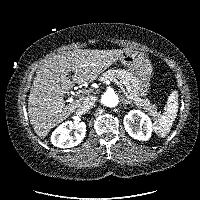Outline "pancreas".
Listing matches in <instances>:
<instances>
[{
	"mask_svg": "<svg viewBox=\"0 0 200 200\" xmlns=\"http://www.w3.org/2000/svg\"><path fill=\"white\" fill-rule=\"evenodd\" d=\"M118 79L126 87L128 98L139 108L148 111L154 118L158 116L157 106L151 104L148 99H141L137 93L136 78L126 70L110 69L103 73L99 81Z\"/></svg>",
	"mask_w": 200,
	"mask_h": 200,
	"instance_id": "cf45deb5",
	"label": "pancreas"
}]
</instances>
